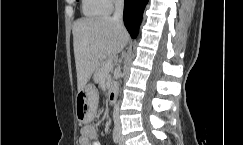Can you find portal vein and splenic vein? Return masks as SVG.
<instances>
[{"mask_svg":"<svg viewBox=\"0 0 243 145\" xmlns=\"http://www.w3.org/2000/svg\"><path fill=\"white\" fill-rule=\"evenodd\" d=\"M113 68V60L112 59H107V62L104 66V72L107 73L109 70Z\"/></svg>","mask_w":243,"mask_h":145,"instance_id":"portal-vein-and-splenic-vein-1","label":"portal vein and splenic vein"}]
</instances>
